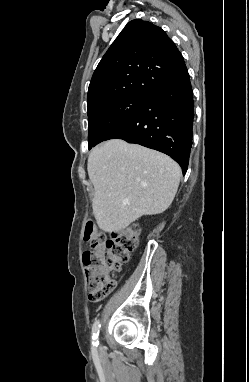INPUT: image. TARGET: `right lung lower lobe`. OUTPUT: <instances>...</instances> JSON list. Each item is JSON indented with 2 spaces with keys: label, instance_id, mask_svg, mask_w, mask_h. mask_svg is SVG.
I'll list each match as a JSON object with an SVG mask.
<instances>
[{
  "label": "right lung lower lobe",
  "instance_id": "98d812e1",
  "mask_svg": "<svg viewBox=\"0 0 249 382\" xmlns=\"http://www.w3.org/2000/svg\"><path fill=\"white\" fill-rule=\"evenodd\" d=\"M193 119V91L185 68L156 88L140 111L106 140L123 139L163 152L176 160L185 174Z\"/></svg>",
  "mask_w": 249,
  "mask_h": 382
}]
</instances>
